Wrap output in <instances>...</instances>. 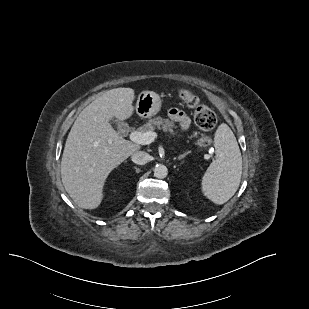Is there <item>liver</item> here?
Wrapping results in <instances>:
<instances>
[{
  "label": "liver",
  "instance_id": "liver-1",
  "mask_svg": "<svg viewBox=\"0 0 309 309\" xmlns=\"http://www.w3.org/2000/svg\"><path fill=\"white\" fill-rule=\"evenodd\" d=\"M134 90L116 88L103 93L79 114L67 137L61 178L65 190L84 209L97 208L110 172L140 149L123 139L109 121L132 116Z\"/></svg>",
  "mask_w": 309,
  "mask_h": 309
}]
</instances>
